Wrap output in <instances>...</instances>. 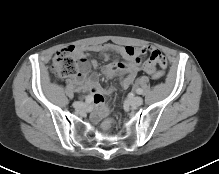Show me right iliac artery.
<instances>
[{
    "label": "right iliac artery",
    "instance_id": "1",
    "mask_svg": "<svg viewBox=\"0 0 219 174\" xmlns=\"http://www.w3.org/2000/svg\"><path fill=\"white\" fill-rule=\"evenodd\" d=\"M91 101H92L91 97H90V96H87L85 102H86L87 104H90Z\"/></svg>",
    "mask_w": 219,
    "mask_h": 174
}]
</instances>
